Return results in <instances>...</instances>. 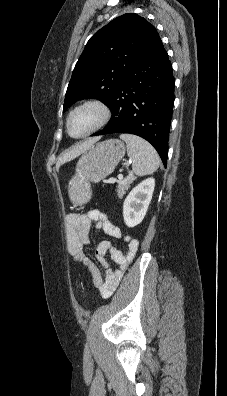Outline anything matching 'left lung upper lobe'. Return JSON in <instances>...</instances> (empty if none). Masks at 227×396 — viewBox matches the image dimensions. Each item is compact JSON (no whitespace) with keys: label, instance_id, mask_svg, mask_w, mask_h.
Segmentation results:
<instances>
[{"label":"left lung upper lobe","instance_id":"left-lung-upper-lobe-1","mask_svg":"<svg viewBox=\"0 0 227 396\" xmlns=\"http://www.w3.org/2000/svg\"><path fill=\"white\" fill-rule=\"evenodd\" d=\"M159 41L156 28L134 13L119 16L98 30L75 65L63 111L86 98L108 106L129 71Z\"/></svg>","mask_w":227,"mask_h":396}]
</instances>
